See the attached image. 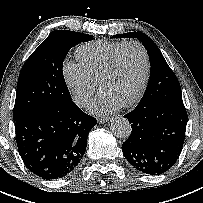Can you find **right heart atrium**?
Wrapping results in <instances>:
<instances>
[{
  "label": "right heart atrium",
  "mask_w": 203,
  "mask_h": 203,
  "mask_svg": "<svg viewBox=\"0 0 203 203\" xmlns=\"http://www.w3.org/2000/svg\"><path fill=\"white\" fill-rule=\"evenodd\" d=\"M63 76L76 103L85 106L97 90V81L74 61L64 63Z\"/></svg>",
  "instance_id": "obj_1"
}]
</instances>
